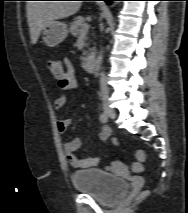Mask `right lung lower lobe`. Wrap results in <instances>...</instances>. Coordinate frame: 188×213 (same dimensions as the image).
<instances>
[{
  "instance_id": "98d812e1",
  "label": "right lung lower lobe",
  "mask_w": 188,
  "mask_h": 213,
  "mask_svg": "<svg viewBox=\"0 0 188 213\" xmlns=\"http://www.w3.org/2000/svg\"><path fill=\"white\" fill-rule=\"evenodd\" d=\"M106 3H111L113 0H104Z\"/></svg>"
}]
</instances>
